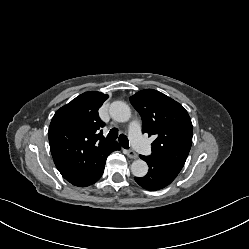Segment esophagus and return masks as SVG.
I'll return each mask as SVG.
<instances>
[{
    "label": "esophagus",
    "mask_w": 249,
    "mask_h": 249,
    "mask_svg": "<svg viewBox=\"0 0 249 249\" xmlns=\"http://www.w3.org/2000/svg\"><path fill=\"white\" fill-rule=\"evenodd\" d=\"M126 154H127V156H128L129 158H131V159H136V158H138L137 153H136L135 151H133V150H127V151H126Z\"/></svg>",
    "instance_id": "obj_1"
}]
</instances>
